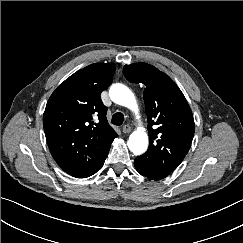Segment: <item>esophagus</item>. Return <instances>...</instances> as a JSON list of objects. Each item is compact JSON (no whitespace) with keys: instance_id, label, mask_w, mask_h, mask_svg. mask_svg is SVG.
Masks as SVG:
<instances>
[{"instance_id":"esophagus-1","label":"esophagus","mask_w":243,"mask_h":243,"mask_svg":"<svg viewBox=\"0 0 243 243\" xmlns=\"http://www.w3.org/2000/svg\"><path fill=\"white\" fill-rule=\"evenodd\" d=\"M122 131H123L125 134H127V133L131 132V127H130L128 124H126V125H124V126L122 127Z\"/></svg>"}]
</instances>
